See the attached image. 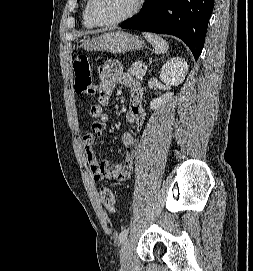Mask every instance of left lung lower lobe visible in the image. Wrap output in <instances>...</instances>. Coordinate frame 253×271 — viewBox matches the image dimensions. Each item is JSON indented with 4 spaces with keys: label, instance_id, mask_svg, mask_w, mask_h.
Masks as SVG:
<instances>
[{
    "label": "left lung lower lobe",
    "instance_id": "0a47b994",
    "mask_svg": "<svg viewBox=\"0 0 253 271\" xmlns=\"http://www.w3.org/2000/svg\"><path fill=\"white\" fill-rule=\"evenodd\" d=\"M214 0H146L141 12L121 28L174 35L197 60L201 54Z\"/></svg>",
    "mask_w": 253,
    "mask_h": 271
}]
</instances>
